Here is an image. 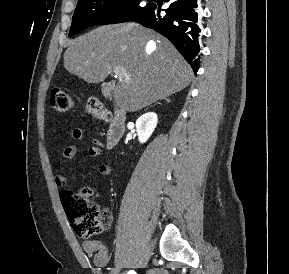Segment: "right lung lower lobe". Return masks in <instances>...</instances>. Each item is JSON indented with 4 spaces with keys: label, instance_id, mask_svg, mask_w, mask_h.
<instances>
[{
    "label": "right lung lower lobe",
    "instance_id": "obj_1",
    "mask_svg": "<svg viewBox=\"0 0 289 274\" xmlns=\"http://www.w3.org/2000/svg\"><path fill=\"white\" fill-rule=\"evenodd\" d=\"M169 3L161 15V4L150 3L136 20L167 37L183 55L196 74L199 69L198 53L201 29L198 0H163Z\"/></svg>",
    "mask_w": 289,
    "mask_h": 274
}]
</instances>
